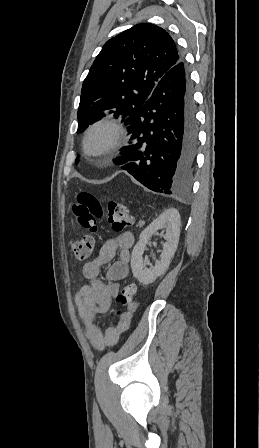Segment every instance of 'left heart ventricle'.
Segmentation results:
<instances>
[{
    "label": "left heart ventricle",
    "mask_w": 259,
    "mask_h": 448,
    "mask_svg": "<svg viewBox=\"0 0 259 448\" xmlns=\"http://www.w3.org/2000/svg\"><path fill=\"white\" fill-rule=\"evenodd\" d=\"M105 135L102 132H96L91 140H90V147L92 150V154L96 155L97 151L95 150L96 148H98L104 141Z\"/></svg>",
    "instance_id": "left-heart-ventricle-1"
}]
</instances>
